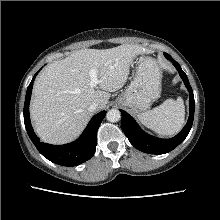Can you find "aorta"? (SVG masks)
<instances>
[{
  "mask_svg": "<svg viewBox=\"0 0 220 220\" xmlns=\"http://www.w3.org/2000/svg\"><path fill=\"white\" fill-rule=\"evenodd\" d=\"M106 118L110 122H118L121 118V113L117 109H111L107 112Z\"/></svg>",
  "mask_w": 220,
  "mask_h": 220,
  "instance_id": "obj_1",
  "label": "aorta"
}]
</instances>
